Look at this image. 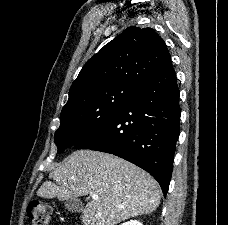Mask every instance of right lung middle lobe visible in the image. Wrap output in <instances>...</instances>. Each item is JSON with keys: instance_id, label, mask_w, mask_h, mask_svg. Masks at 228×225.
<instances>
[{"instance_id": "dd1d6c3e", "label": "right lung middle lobe", "mask_w": 228, "mask_h": 225, "mask_svg": "<svg viewBox=\"0 0 228 225\" xmlns=\"http://www.w3.org/2000/svg\"><path fill=\"white\" fill-rule=\"evenodd\" d=\"M136 89L123 83L108 84L91 89L67 103L61 111V125L54 137L58 153L103 124Z\"/></svg>"}]
</instances>
